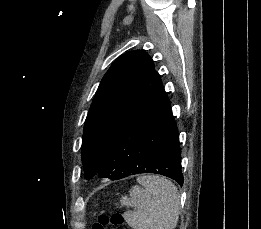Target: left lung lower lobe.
<instances>
[{
    "label": "left lung lower lobe",
    "instance_id": "left-lung-lower-lobe-1",
    "mask_svg": "<svg viewBox=\"0 0 261 229\" xmlns=\"http://www.w3.org/2000/svg\"><path fill=\"white\" fill-rule=\"evenodd\" d=\"M181 148L170 101L162 87L123 130L100 163V178L156 173L183 184Z\"/></svg>",
    "mask_w": 261,
    "mask_h": 229
}]
</instances>
